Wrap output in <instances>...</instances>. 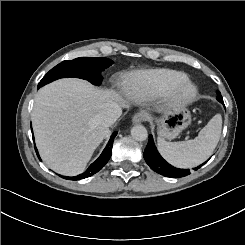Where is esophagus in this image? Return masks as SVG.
<instances>
[{
    "instance_id": "1",
    "label": "esophagus",
    "mask_w": 245,
    "mask_h": 245,
    "mask_svg": "<svg viewBox=\"0 0 245 245\" xmlns=\"http://www.w3.org/2000/svg\"><path fill=\"white\" fill-rule=\"evenodd\" d=\"M147 120H148V114L146 112H138L132 118V122L134 124L142 123Z\"/></svg>"
}]
</instances>
